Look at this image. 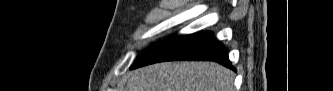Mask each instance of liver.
<instances>
[{
	"label": "liver",
	"instance_id": "liver-1",
	"mask_svg": "<svg viewBox=\"0 0 333 91\" xmlns=\"http://www.w3.org/2000/svg\"><path fill=\"white\" fill-rule=\"evenodd\" d=\"M235 74L214 62H165L128 76V91H234Z\"/></svg>",
	"mask_w": 333,
	"mask_h": 91
}]
</instances>
